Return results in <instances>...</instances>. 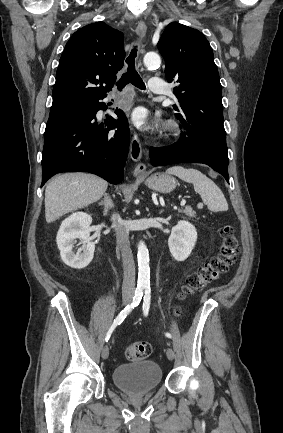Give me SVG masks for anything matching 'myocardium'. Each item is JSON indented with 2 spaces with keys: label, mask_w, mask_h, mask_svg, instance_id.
<instances>
[{
  "label": "myocardium",
  "mask_w": 283,
  "mask_h": 433,
  "mask_svg": "<svg viewBox=\"0 0 283 433\" xmlns=\"http://www.w3.org/2000/svg\"><path fill=\"white\" fill-rule=\"evenodd\" d=\"M168 131L173 135H178L182 129V123L177 119H169L167 122Z\"/></svg>",
  "instance_id": "obj_1"
}]
</instances>
